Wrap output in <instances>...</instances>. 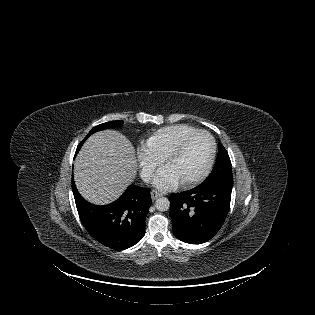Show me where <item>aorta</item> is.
Returning <instances> with one entry per match:
<instances>
[{
  "instance_id": "aorta-1",
  "label": "aorta",
  "mask_w": 315,
  "mask_h": 315,
  "mask_svg": "<svg viewBox=\"0 0 315 315\" xmlns=\"http://www.w3.org/2000/svg\"><path fill=\"white\" fill-rule=\"evenodd\" d=\"M155 207L158 211H167L170 208V201L166 197H160L156 200Z\"/></svg>"
}]
</instances>
